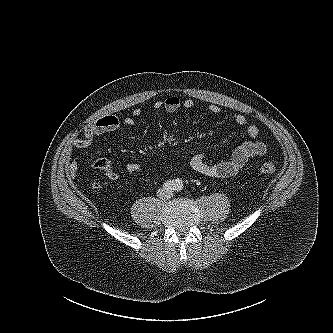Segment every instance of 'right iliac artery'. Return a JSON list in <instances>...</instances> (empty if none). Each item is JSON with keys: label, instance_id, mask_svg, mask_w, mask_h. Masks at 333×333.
I'll return each mask as SVG.
<instances>
[{"label": "right iliac artery", "instance_id": "right-iliac-artery-1", "mask_svg": "<svg viewBox=\"0 0 333 333\" xmlns=\"http://www.w3.org/2000/svg\"><path fill=\"white\" fill-rule=\"evenodd\" d=\"M163 187L165 188V189H167V190H174V188H175V182L172 180H170V181H166L164 184H163Z\"/></svg>", "mask_w": 333, "mask_h": 333}]
</instances>
